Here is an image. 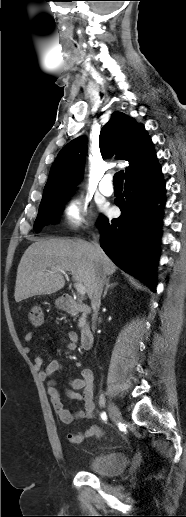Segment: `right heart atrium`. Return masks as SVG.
<instances>
[{
	"label": "right heart atrium",
	"mask_w": 186,
	"mask_h": 517,
	"mask_svg": "<svg viewBox=\"0 0 186 517\" xmlns=\"http://www.w3.org/2000/svg\"><path fill=\"white\" fill-rule=\"evenodd\" d=\"M62 216L68 228L77 229L88 223L90 206L81 196H75L64 205Z\"/></svg>",
	"instance_id": "right-heart-atrium-1"
}]
</instances>
